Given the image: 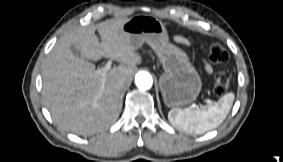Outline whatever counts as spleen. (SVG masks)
<instances>
[{"instance_id":"spleen-1","label":"spleen","mask_w":283,"mask_h":162,"mask_svg":"<svg viewBox=\"0 0 283 162\" xmlns=\"http://www.w3.org/2000/svg\"><path fill=\"white\" fill-rule=\"evenodd\" d=\"M234 98V93L230 92L213 105L198 109L173 108L168 113V120L179 130L190 134H203L218 127L225 120Z\"/></svg>"}]
</instances>
